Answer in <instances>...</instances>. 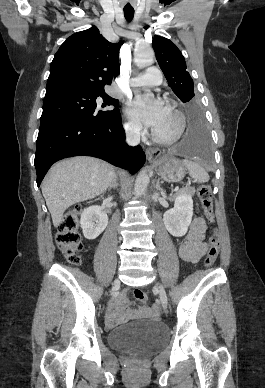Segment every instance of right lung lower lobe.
I'll list each match as a JSON object with an SVG mask.
<instances>
[{
    "label": "right lung lower lobe",
    "mask_w": 265,
    "mask_h": 388,
    "mask_svg": "<svg viewBox=\"0 0 265 388\" xmlns=\"http://www.w3.org/2000/svg\"><path fill=\"white\" fill-rule=\"evenodd\" d=\"M76 155L98 157L131 173L145 163L142 148L125 143L121 115L105 123L92 119L56 120L39 128L34 161L37 185L53 163Z\"/></svg>",
    "instance_id": "obj_1"
}]
</instances>
